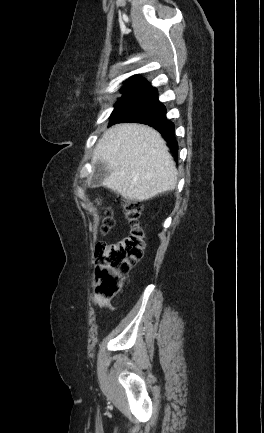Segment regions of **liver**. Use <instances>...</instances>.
<instances>
[{
    "label": "liver",
    "instance_id": "6515ba94",
    "mask_svg": "<svg viewBox=\"0 0 264 433\" xmlns=\"http://www.w3.org/2000/svg\"><path fill=\"white\" fill-rule=\"evenodd\" d=\"M107 163L103 185L134 201H145L175 189L177 169L159 132L146 125L123 123L99 139L92 163Z\"/></svg>",
    "mask_w": 264,
    "mask_h": 433
}]
</instances>
